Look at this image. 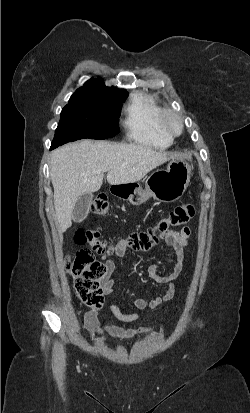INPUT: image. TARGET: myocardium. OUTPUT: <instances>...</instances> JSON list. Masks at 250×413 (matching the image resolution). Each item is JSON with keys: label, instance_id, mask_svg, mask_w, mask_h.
Returning a JSON list of instances; mask_svg holds the SVG:
<instances>
[{"label": "myocardium", "instance_id": "myocardium-1", "mask_svg": "<svg viewBox=\"0 0 250 413\" xmlns=\"http://www.w3.org/2000/svg\"><path fill=\"white\" fill-rule=\"evenodd\" d=\"M174 120L177 128L173 129L170 126V121ZM159 126L161 131L170 138H175L183 132L184 123L182 117L171 109H162L159 117Z\"/></svg>", "mask_w": 250, "mask_h": 413}]
</instances>
